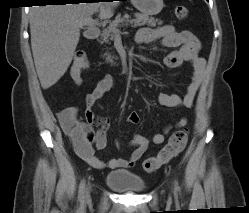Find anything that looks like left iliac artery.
<instances>
[{"mask_svg":"<svg viewBox=\"0 0 249 213\" xmlns=\"http://www.w3.org/2000/svg\"><path fill=\"white\" fill-rule=\"evenodd\" d=\"M175 190H176V191H179V190H180V188H179V186H178V182H177V181H175Z\"/></svg>","mask_w":249,"mask_h":213,"instance_id":"1","label":"left iliac artery"}]
</instances>
